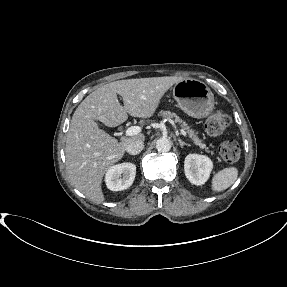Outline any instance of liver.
Listing matches in <instances>:
<instances>
[{
	"label": "liver",
	"instance_id": "liver-1",
	"mask_svg": "<svg viewBox=\"0 0 287 287\" xmlns=\"http://www.w3.org/2000/svg\"><path fill=\"white\" fill-rule=\"evenodd\" d=\"M181 80L182 77L175 76L119 80L90 93L74 112L66 137L70 183L94 203H102L104 174L123 157L132 140H144L145 136L137 134L118 142L101 130L95 120L107 127H116L128 119V114L150 118L164 94ZM117 94L122 97L124 106L119 103Z\"/></svg>",
	"mask_w": 287,
	"mask_h": 287
}]
</instances>
